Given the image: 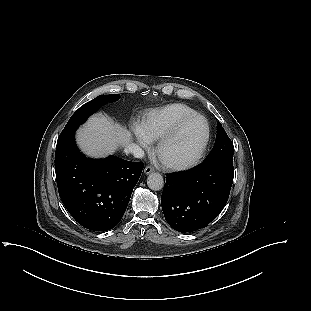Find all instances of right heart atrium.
I'll use <instances>...</instances> for the list:
<instances>
[{
    "mask_svg": "<svg viewBox=\"0 0 311 311\" xmlns=\"http://www.w3.org/2000/svg\"><path fill=\"white\" fill-rule=\"evenodd\" d=\"M130 133L140 146L147 148L150 145V140L144 135L139 125L133 123L130 126Z\"/></svg>",
    "mask_w": 311,
    "mask_h": 311,
    "instance_id": "1",
    "label": "right heart atrium"
}]
</instances>
